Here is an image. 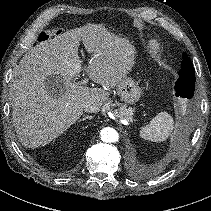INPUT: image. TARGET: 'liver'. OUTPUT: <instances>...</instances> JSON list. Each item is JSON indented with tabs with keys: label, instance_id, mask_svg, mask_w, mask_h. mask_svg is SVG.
Here are the masks:
<instances>
[{
	"label": "liver",
	"instance_id": "liver-1",
	"mask_svg": "<svg viewBox=\"0 0 211 211\" xmlns=\"http://www.w3.org/2000/svg\"><path fill=\"white\" fill-rule=\"evenodd\" d=\"M80 41L92 56L84 69L78 56ZM134 54L128 39L97 24L72 29L28 50L14 71L11 94L12 119L22 145L38 148L50 143L79 119L87 103L98 112L109 97L105 89L127 76ZM82 70L104 89L73 81ZM51 75L63 80L58 96L46 90Z\"/></svg>",
	"mask_w": 211,
	"mask_h": 211
}]
</instances>
